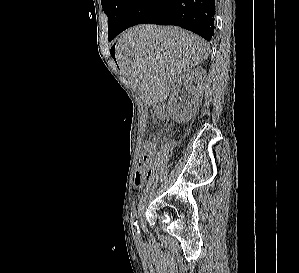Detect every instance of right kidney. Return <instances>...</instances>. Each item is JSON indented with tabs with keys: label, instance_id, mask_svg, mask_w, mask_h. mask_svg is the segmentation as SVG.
Masks as SVG:
<instances>
[{
	"label": "right kidney",
	"instance_id": "ca27d5eb",
	"mask_svg": "<svg viewBox=\"0 0 299 273\" xmlns=\"http://www.w3.org/2000/svg\"><path fill=\"white\" fill-rule=\"evenodd\" d=\"M205 79L206 71L200 67L188 69L175 79L168 104L176 120L186 122L194 116L200 105ZM194 82L197 83L196 86L193 85ZM182 85L185 86L187 93L179 97Z\"/></svg>",
	"mask_w": 299,
	"mask_h": 273
}]
</instances>
